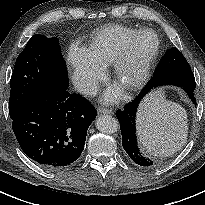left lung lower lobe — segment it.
Wrapping results in <instances>:
<instances>
[{"label": "left lung lower lobe", "instance_id": "1", "mask_svg": "<svg viewBox=\"0 0 205 205\" xmlns=\"http://www.w3.org/2000/svg\"><path fill=\"white\" fill-rule=\"evenodd\" d=\"M163 85L179 86L188 94L191 101L196 105L194 97L195 78L191 70L177 71L173 73L164 74L161 76H153L147 83L141 93L130 103H128L123 110L116 112V117L120 123L122 133V145L130 158L138 165L148 167L154 163L147 159L138 149L135 134L136 114L138 106L153 88Z\"/></svg>", "mask_w": 205, "mask_h": 205}]
</instances>
